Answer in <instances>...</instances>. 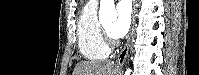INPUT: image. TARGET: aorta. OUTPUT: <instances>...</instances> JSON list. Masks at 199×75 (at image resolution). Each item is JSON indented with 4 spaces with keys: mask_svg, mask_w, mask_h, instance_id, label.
Instances as JSON below:
<instances>
[{
    "mask_svg": "<svg viewBox=\"0 0 199 75\" xmlns=\"http://www.w3.org/2000/svg\"><path fill=\"white\" fill-rule=\"evenodd\" d=\"M117 18V11L115 9L114 0H101L99 10V20L101 22L106 20L114 21ZM131 70L127 69L125 75H130Z\"/></svg>",
    "mask_w": 199,
    "mask_h": 75,
    "instance_id": "obj_1",
    "label": "aorta"
}]
</instances>
